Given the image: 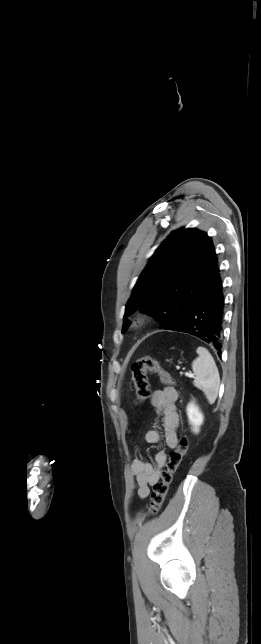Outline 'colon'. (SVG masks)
<instances>
[{
	"mask_svg": "<svg viewBox=\"0 0 261 644\" xmlns=\"http://www.w3.org/2000/svg\"><path fill=\"white\" fill-rule=\"evenodd\" d=\"M148 373L158 375L161 382L166 385H173L175 383L173 376L164 369L157 358L144 356L135 360L131 364V376L138 402L146 401L151 395L147 378ZM187 448L188 438L187 436H183L177 448L170 453L166 467L161 473L160 480L153 485L148 515H155L161 509L169 491L170 484L172 483L173 476L180 466L187 452Z\"/></svg>",
	"mask_w": 261,
	"mask_h": 644,
	"instance_id": "colon-1",
	"label": "colon"
}]
</instances>
